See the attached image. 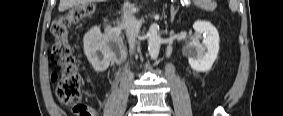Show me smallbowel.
I'll use <instances>...</instances> for the list:
<instances>
[{
  "instance_id": "obj_1",
  "label": "small bowel",
  "mask_w": 283,
  "mask_h": 116,
  "mask_svg": "<svg viewBox=\"0 0 283 116\" xmlns=\"http://www.w3.org/2000/svg\"><path fill=\"white\" fill-rule=\"evenodd\" d=\"M91 112H92V115H91V116H95V115L98 114L96 110H92Z\"/></svg>"
}]
</instances>
